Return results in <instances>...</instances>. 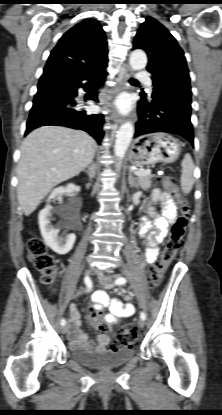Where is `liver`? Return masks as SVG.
Masks as SVG:
<instances>
[{"label": "liver", "mask_w": 222, "mask_h": 415, "mask_svg": "<svg viewBox=\"0 0 222 415\" xmlns=\"http://www.w3.org/2000/svg\"><path fill=\"white\" fill-rule=\"evenodd\" d=\"M95 147V140L81 130L43 126L32 131L23 141L17 167V198L25 216L53 187L83 171Z\"/></svg>", "instance_id": "1"}]
</instances>
